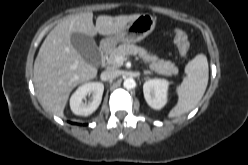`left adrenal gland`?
I'll return each mask as SVG.
<instances>
[{
	"mask_svg": "<svg viewBox=\"0 0 248 165\" xmlns=\"http://www.w3.org/2000/svg\"><path fill=\"white\" fill-rule=\"evenodd\" d=\"M144 74H151V72L148 70H144Z\"/></svg>",
	"mask_w": 248,
	"mask_h": 165,
	"instance_id": "left-adrenal-gland-1",
	"label": "left adrenal gland"
}]
</instances>
